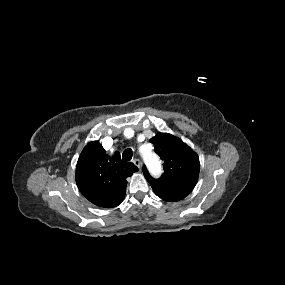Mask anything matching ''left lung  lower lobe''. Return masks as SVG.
I'll use <instances>...</instances> for the list:
<instances>
[{
    "instance_id": "1",
    "label": "left lung lower lobe",
    "mask_w": 285,
    "mask_h": 285,
    "mask_svg": "<svg viewBox=\"0 0 285 285\" xmlns=\"http://www.w3.org/2000/svg\"><path fill=\"white\" fill-rule=\"evenodd\" d=\"M155 194L165 201H179L184 199L189 193L184 191H173L153 188Z\"/></svg>"
}]
</instances>
